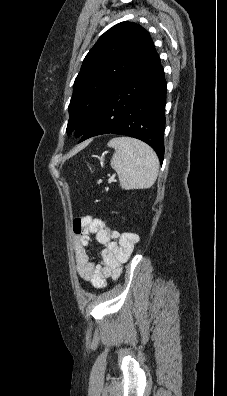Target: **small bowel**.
<instances>
[{
	"label": "small bowel",
	"instance_id": "obj_1",
	"mask_svg": "<svg viewBox=\"0 0 227 396\" xmlns=\"http://www.w3.org/2000/svg\"><path fill=\"white\" fill-rule=\"evenodd\" d=\"M74 234L76 270L80 276L99 289L105 287L107 279L119 277L122 265L130 258L139 241L136 233L111 229L101 219L92 216L76 219ZM91 235L103 246L99 264L94 263L88 253Z\"/></svg>",
	"mask_w": 227,
	"mask_h": 396
}]
</instances>
